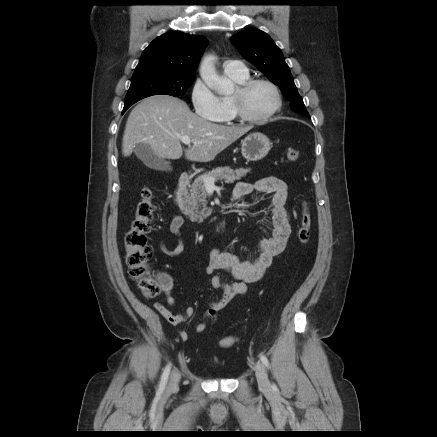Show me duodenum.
<instances>
[{
  "label": "duodenum",
  "mask_w": 437,
  "mask_h": 437,
  "mask_svg": "<svg viewBox=\"0 0 437 437\" xmlns=\"http://www.w3.org/2000/svg\"><path fill=\"white\" fill-rule=\"evenodd\" d=\"M192 179V175L189 172H184L179 177L177 186L175 188L174 194H173V201L175 206L181 211L183 208V194L185 192V189L187 185L190 183ZM224 228V223L220 224V226L217 228L218 231H222Z\"/></svg>",
  "instance_id": "obj_1"
}]
</instances>
